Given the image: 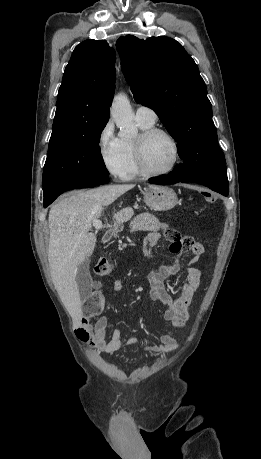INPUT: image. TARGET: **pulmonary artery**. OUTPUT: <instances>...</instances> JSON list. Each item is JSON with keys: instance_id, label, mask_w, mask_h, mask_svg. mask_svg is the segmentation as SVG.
I'll use <instances>...</instances> for the list:
<instances>
[{"instance_id": "1", "label": "pulmonary artery", "mask_w": 261, "mask_h": 459, "mask_svg": "<svg viewBox=\"0 0 261 459\" xmlns=\"http://www.w3.org/2000/svg\"><path fill=\"white\" fill-rule=\"evenodd\" d=\"M136 119L148 123H155L157 120V114L155 111L146 106H139L135 112Z\"/></svg>"}]
</instances>
